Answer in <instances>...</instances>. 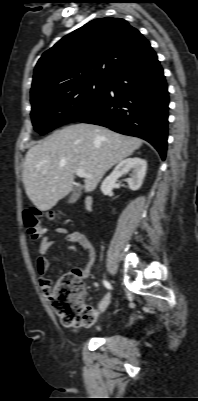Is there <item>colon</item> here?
Masks as SVG:
<instances>
[{"label": "colon", "mask_w": 198, "mask_h": 401, "mask_svg": "<svg viewBox=\"0 0 198 401\" xmlns=\"http://www.w3.org/2000/svg\"><path fill=\"white\" fill-rule=\"evenodd\" d=\"M43 215L36 209L26 210L23 213V223L28 236L32 240L40 239L44 234L41 226ZM48 221H55L57 216L52 213L45 215ZM50 304L61 319L63 325L68 327L91 326L95 314L84 303V291L80 275L72 270L61 277L56 285L48 291Z\"/></svg>", "instance_id": "1"}]
</instances>
